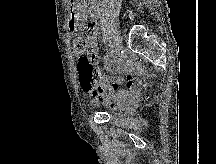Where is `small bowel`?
I'll return each instance as SVG.
<instances>
[{
    "instance_id": "1",
    "label": "small bowel",
    "mask_w": 216,
    "mask_h": 164,
    "mask_svg": "<svg viewBox=\"0 0 216 164\" xmlns=\"http://www.w3.org/2000/svg\"><path fill=\"white\" fill-rule=\"evenodd\" d=\"M83 44L84 49L88 50L92 60H96L98 52L97 28L94 24L88 25ZM107 69L113 73H124L126 75L127 88H120V85L124 82L122 77L110 78L103 76L100 86L90 92L91 103L95 106L107 105L121 112L130 110L140 91V83L136 78L139 69L126 59L120 60L117 64L108 62Z\"/></svg>"
}]
</instances>
